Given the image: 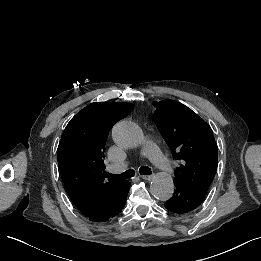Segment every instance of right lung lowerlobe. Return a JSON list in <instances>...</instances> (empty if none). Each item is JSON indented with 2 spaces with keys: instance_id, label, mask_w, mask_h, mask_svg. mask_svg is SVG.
<instances>
[{
  "instance_id": "obj_1",
  "label": "right lung lower lobe",
  "mask_w": 261,
  "mask_h": 261,
  "mask_svg": "<svg viewBox=\"0 0 261 261\" xmlns=\"http://www.w3.org/2000/svg\"><path fill=\"white\" fill-rule=\"evenodd\" d=\"M130 183H126L119 189L113 191L110 195L96 200L83 214L93 222H106L121 212L126 203Z\"/></svg>"
}]
</instances>
